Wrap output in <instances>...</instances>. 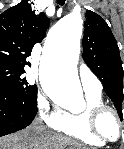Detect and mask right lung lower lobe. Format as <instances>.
Listing matches in <instances>:
<instances>
[{
    "instance_id": "1",
    "label": "right lung lower lobe",
    "mask_w": 124,
    "mask_h": 149,
    "mask_svg": "<svg viewBox=\"0 0 124 149\" xmlns=\"http://www.w3.org/2000/svg\"><path fill=\"white\" fill-rule=\"evenodd\" d=\"M36 114V103L0 86V137L24 129Z\"/></svg>"
}]
</instances>
